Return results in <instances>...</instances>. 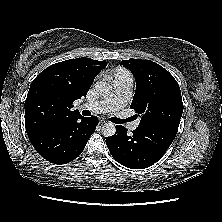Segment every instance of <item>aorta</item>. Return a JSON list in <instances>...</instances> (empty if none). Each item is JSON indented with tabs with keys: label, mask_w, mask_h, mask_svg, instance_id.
Masks as SVG:
<instances>
[{
	"label": "aorta",
	"mask_w": 222,
	"mask_h": 222,
	"mask_svg": "<svg viewBox=\"0 0 222 222\" xmlns=\"http://www.w3.org/2000/svg\"><path fill=\"white\" fill-rule=\"evenodd\" d=\"M95 88L99 92V94L102 96H107L112 91V86L109 83L104 82V81L97 82L95 84ZM115 132H116V128L112 122L105 123L102 127V134L105 137L113 136Z\"/></svg>",
	"instance_id": "obj_1"
}]
</instances>
